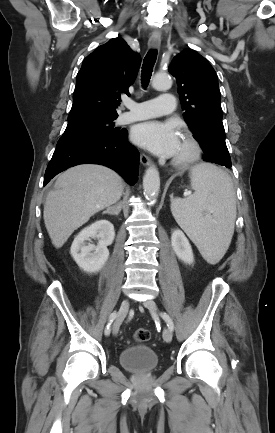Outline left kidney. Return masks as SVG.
I'll return each mask as SVG.
<instances>
[{
	"label": "left kidney",
	"instance_id": "1",
	"mask_svg": "<svg viewBox=\"0 0 275 433\" xmlns=\"http://www.w3.org/2000/svg\"><path fill=\"white\" fill-rule=\"evenodd\" d=\"M173 250L177 257L183 262L192 264L194 256L191 245L185 234L181 230H175L171 236Z\"/></svg>",
	"mask_w": 275,
	"mask_h": 433
}]
</instances>
